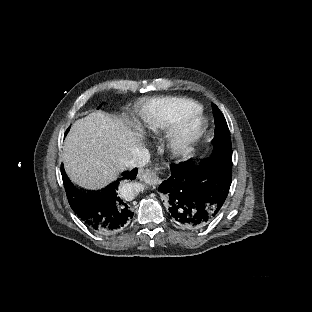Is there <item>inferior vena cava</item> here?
I'll list each match as a JSON object with an SVG mask.
<instances>
[{
	"label": "inferior vena cava",
	"mask_w": 312,
	"mask_h": 312,
	"mask_svg": "<svg viewBox=\"0 0 312 312\" xmlns=\"http://www.w3.org/2000/svg\"><path fill=\"white\" fill-rule=\"evenodd\" d=\"M150 159V154L147 149H144L137 156L133 157L131 160L125 162V168L133 169L145 166Z\"/></svg>",
	"instance_id": "inferior-vena-cava-1"
}]
</instances>
